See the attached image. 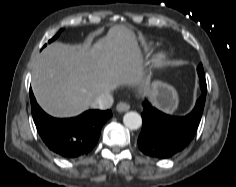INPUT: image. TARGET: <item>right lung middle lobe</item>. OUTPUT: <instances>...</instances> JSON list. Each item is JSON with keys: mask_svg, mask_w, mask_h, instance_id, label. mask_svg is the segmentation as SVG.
Here are the masks:
<instances>
[{"mask_svg": "<svg viewBox=\"0 0 236 187\" xmlns=\"http://www.w3.org/2000/svg\"><path fill=\"white\" fill-rule=\"evenodd\" d=\"M61 31L62 29L51 40H49V43L54 41L60 35Z\"/></svg>", "mask_w": 236, "mask_h": 187, "instance_id": "dd1d6c3e", "label": "right lung middle lobe"}]
</instances>
